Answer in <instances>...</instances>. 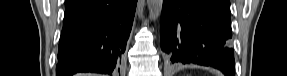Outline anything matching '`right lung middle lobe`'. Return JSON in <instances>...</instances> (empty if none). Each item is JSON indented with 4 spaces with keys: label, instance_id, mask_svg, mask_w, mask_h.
Returning <instances> with one entry per match:
<instances>
[{
    "label": "right lung middle lobe",
    "instance_id": "obj_1",
    "mask_svg": "<svg viewBox=\"0 0 287 76\" xmlns=\"http://www.w3.org/2000/svg\"><path fill=\"white\" fill-rule=\"evenodd\" d=\"M66 6H68V2H67V1H65V7H66Z\"/></svg>",
    "mask_w": 287,
    "mask_h": 76
}]
</instances>
